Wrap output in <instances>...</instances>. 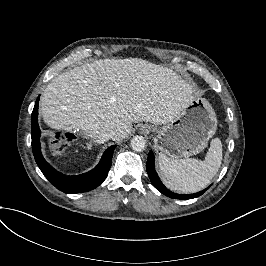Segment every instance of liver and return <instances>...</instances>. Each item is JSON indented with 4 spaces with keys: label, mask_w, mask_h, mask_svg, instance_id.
<instances>
[{
    "label": "liver",
    "mask_w": 266,
    "mask_h": 266,
    "mask_svg": "<svg viewBox=\"0 0 266 266\" xmlns=\"http://www.w3.org/2000/svg\"><path fill=\"white\" fill-rule=\"evenodd\" d=\"M193 85L167 67L141 58L100 59L55 77L41 98L44 122L93 138L114 131L128 137L132 123L167 124L193 101Z\"/></svg>",
    "instance_id": "1"
}]
</instances>
